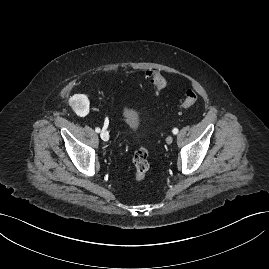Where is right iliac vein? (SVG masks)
Returning a JSON list of instances; mask_svg holds the SVG:
<instances>
[{
	"label": "right iliac vein",
	"mask_w": 269,
	"mask_h": 269,
	"mask_svg": "<svg viewBox=\"0 0 269 269\" xmlns=\"http://www.w3.org/2000/svg\"><path fill=\"white\" fill-rule=\"evenodd\" d=\"M100 137L102 140L104 141H108L109 140V133L107 130H102L100 133Z\"/></svg>",
	"instance_id": "1"
}]
</instances>
